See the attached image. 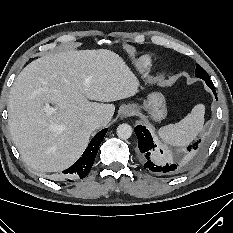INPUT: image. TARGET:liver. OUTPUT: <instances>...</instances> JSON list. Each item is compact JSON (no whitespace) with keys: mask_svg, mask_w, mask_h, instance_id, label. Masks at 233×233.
I'll return each mask as SVG.
<instances>
[{"mask_svg":"<svg viewBox=\"0 0 233 233\" xmlns=\"http://www.w3.org/2000/svg\"><path fill=\"white\" fill-rule=\"evenodd\" d=\"M138 92V82L124 59L108 49L71 50L29 63L16 77L8 98V124L24 162L39 172L71 166L85 150L90 115L106 126L110 102ZM94 100L97 102H92ZM52 104L55 111L45 112Z\"/></svg>","mask_w":233,"mask_h":233,"instance_id":"liver-1","label":"liver"}]
</instances>
